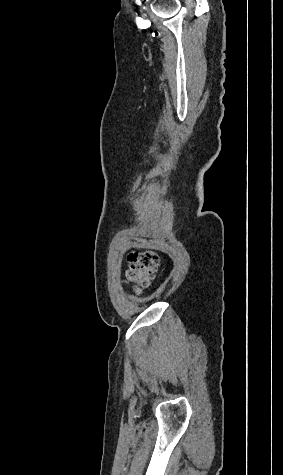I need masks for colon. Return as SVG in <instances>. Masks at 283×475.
<instances>
[{"instance_id":"obj_1","label":"colon","mask_w":283,"mask_h":475,"mask_svg":"<svg viewBox=\"0 0 283 475\" xmlns=\"http://www.w3.org/2000/svg\"><path fill=\"white\" fill-rule=\"evenodd\" d=\"M129 260L131 267L125 273V280L137 292H140L155 275L159 264L158 255L152 249H145L132 252Z\"/></svg>"}]
</instances>
